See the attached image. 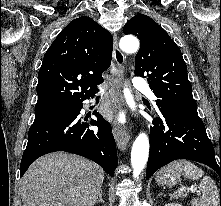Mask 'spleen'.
Wrapping results in <instances>:
<instances>
[{"label": "spleen", "mask_w": 221, "mask_h": 206, "mask_svg": "<svg viewBox=\"0 0 221 206\" xmlns=\"http://www.w3.org/2000/svg\"><path fill=\"white\" fill-rule=\"evenodd\" d=\"M171 168L184 172L186 178L198 180L202 178L200 187L202 196L191 200L192 206H219V191L214 180L209 176H204V171L187 160H178L170 165Z\"/></svg>", "instance_id": "spleen-1"}]
</instances>
